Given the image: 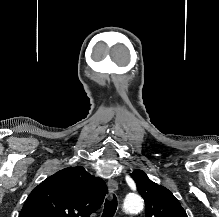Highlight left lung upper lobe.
I'll return each mask as SVG.
<instances>
[{
    "label": "left lung upper lobe",
    "instance_id": "5c2ea615",
    "mask_svg": "<svg viewBox=\"0 0 219 217\" xmlns=\"http://www.w3.org/2000/svg\"><path fill=\"white\" fill-rule=\"evenodd\" d=\"M130 176L145 200L146 217H187L172 192L151 181L144 171L134 170Z\"/></svg>",
    "mask_w": 219,
    "mask_h": 217
}]
</instances>
